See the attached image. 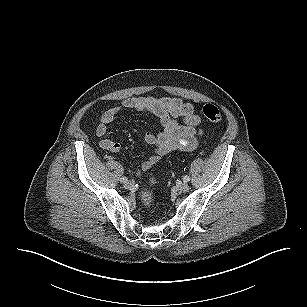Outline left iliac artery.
<instances>
[{"instance_id":"obj_1","label":"left iliac artery","mask_w":307,"mask_h":307,"mask_svg":"<svg viewBox=\"0 0 307 307\" xmlns=\"http://www.w3.org/2000/svg\"><path fill=\"white\" fill-rule=\"evenodd\" d=\"M183 181H184V182H188V181H190L189 176H187V175L183 176Z\"/></svg>"}]
</instances>
